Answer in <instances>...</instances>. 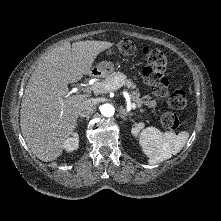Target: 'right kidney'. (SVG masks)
Instances as JSON below:
<instances>
[{"label": "right kidney", "mask_w": 221, "mask_h": 221, "mask_svg": "<svg viewBox=\"0 0 221 221\" xmlns=\"http://www.w3.org/2000/svg\"><path fill=\"white\" fill-rule=\"evenodd\" d=\"M79 146V136L77 133H73L71 137H69L65 142H64V149L68 152H72L76 150Z\"/></svg>", "instance_id": "obj_1"}]
</instances>
